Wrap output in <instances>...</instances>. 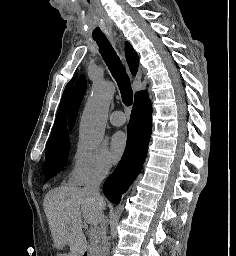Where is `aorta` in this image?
I'll return each mask as SVG.
<instances>
[{"label":"aorta","instance_id":"aorta-1","mask_svg":"<svg viewBox=\"0 0 236 256\" xmlns=\"http://www.w3.org/2000/svg\"><path fill=\"white\" fill-rule=\"evenodd\" d=\"M115 93L112 82L93 85L80 122V138L88 145H99L103 139L110 103Z\"/></svg>","mask_w":236,"mask_h":256}]
</instances>
